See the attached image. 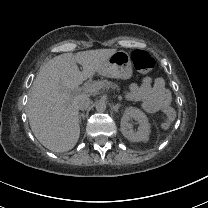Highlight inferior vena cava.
Segmentation results:
<instances>
[{
	"label": "inferior vena cava",
	"mask_w": 208,
	"mask_h": 208,
	"mask_svg": "<svg viewBox=\"0 0 208 208\" xmlns=\"http://www.w3.org/2000/svg\"><path fill=\"white\" fill-rule=\"evenodd\" d=\"M90 98L83 95L78 98V108L80 110H86L90 106Z\"/></svg>",
	"instance_id": "602c4592"
}]
</instances>
